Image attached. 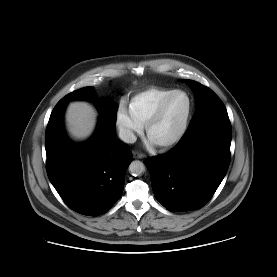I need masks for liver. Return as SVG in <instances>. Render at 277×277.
I'll return each instance as SVG.
<instances>
[{
    "mask_svg": "<svg viewBox=\"0 0 277 277\" xmlns=\"http://www.w3.org/2000/svg\"><path fill=\"white\" fill-rule=\"evenodd\" d=\"M97 113L86 102H73L69 105L66 114L67 126L72 137L85 139L95 128Z\"/></svg>",
    "mask_w": 277,
    "mask_h": 277,
    "instance_id": "6515ba94",
    "label": "liver"
}]
</instances>
